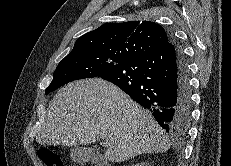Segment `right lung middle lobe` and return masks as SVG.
I'll list each match as a JSON object with an SVG mask.
<instances>
[{"label": "right lung middle lobe", "instance_id": "dd1d6c3e", "mask_svg": "<svg viewBox=\"0 0 231 166\" xmlns=\"http://www.w3.org/2000/svg\"><path fill=\"white\" fill-rule=\"evenodd\" d=\"M126 60L118 56H109L101 52L84 49L70 52L57 66L53 80L45 90V94L59 87L84 78L97 77Z\"/></svg>", "mask_w": 231, "mask_h": 166}]
</instances>
